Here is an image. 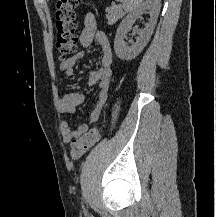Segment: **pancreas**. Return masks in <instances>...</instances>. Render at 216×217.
<instances>
[{"mask_svg": "<svg viewBox=\"0 0 216 217\" xmlns=\"http://www.w3.org/2000/svg\"><path fill=\"white\" fill-rule=\"evenodd\" d=\"M106 18L108 19V25H113L116 21L123 17L124 12L120 5L111 6L108 8Z\"/></svg>", "mask_w": 216, "mask_h": 217, "instance_id": "pancreas-1", "label": "pancreas"}]
</instances>
